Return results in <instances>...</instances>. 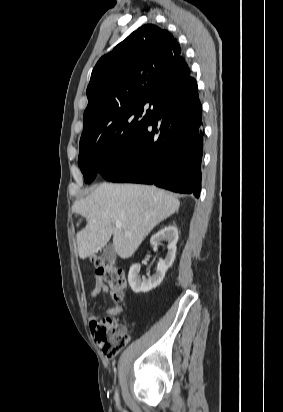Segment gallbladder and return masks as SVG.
Returning <instances> with one entry per match:
<instances>
[{"instance_id": "obj_1", "label": "gallbladder", "mask_w": 283, "mask_h": 412, "mask_svg": "<svg viewBox=\"0 0 283 412\" xmlns=\"http://www.w3.org/2000/svg\"><path fill=\"white\" fill-rule=\"evenodd\" d=\"M115 250L113 245L109 244L104 250V258L107 262L111 263L115 260Z\"/></svg>"}]
</instances>
